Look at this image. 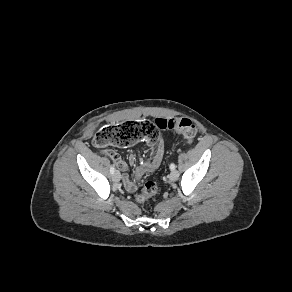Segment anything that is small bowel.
<instances>
[{
    "mask_svg": "<svg viewBox=\"0 0 292 292\" xmlns=\"http://www.w3.org/2000/svg\"><path fill=\"white\" fill-rule=\"evenodd\" d=\"M149 145L153 146V154L149 160L140 163L135 168V177L137 179L142 176L152 173L155 171L161 164L163 155H164V143L161 139L158 138L155 142L147 141ZM104 154L110 157L116 164L119 170L125 172L128 169V164L112 149L104 150ZM137 160V156L132 153L129 155L130 164H134ZM122 183L124 188L128 192H135L137 190V184L129 178L127 174H123Z\"/></svg>",
    "mask_w": 292,
    "mask_h": 292,
    "instance_id": "obj_1",
    "label": "small bowel"
}]
</instances>
